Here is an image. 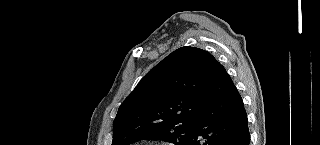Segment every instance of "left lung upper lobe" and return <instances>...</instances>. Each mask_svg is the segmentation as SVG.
Segmentation results:
<instances>
[{
  "label": "left lung upper lobe",
  "instance_id": "1",
  "mask_svg": "<svg viewBox=\"0 0 320 145\" xmlns=\"http://www.w3.org/2000/svg\"><path fill=\"white\" fill-rule=\"evenodd\" d=\"M219 62L196 47H181L146 74L118 109L112 145L144 139L187 145L205 105V84Z\"/></svg>",
  "mask_w": 320,
  "mask_h": 145
}]
</instances>
